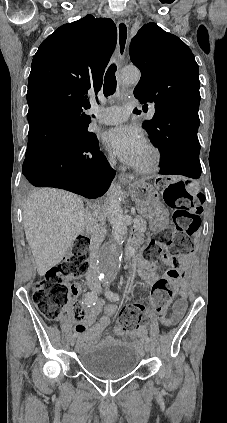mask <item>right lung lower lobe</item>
I'll list each match as a JSON object with an SVG mask.
<instances>
[{
	"instance_id": "obj_1",
	"label": "right lung lower lobe",
	"mask_w": 227,
	"mask_h": 423,
	"mask_svg": "<svg viewBox=\"0 0 227 423\" xmlns=\"http://www.w3.org/2000/svg\"><path fill=\"white\" fill-rule=\"evenodd\" d=\"M70 144L47 148L26 157L22 172L36 187H55L86 198H97L107 190L115 176L98 140L81 149Z\"/></svg>"
}]
</instances>
